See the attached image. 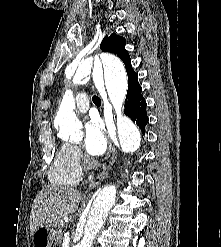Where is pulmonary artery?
Segmentation results:
<instances>
[{"instance_id":"e3ab8cb5","label":"pulmonary artery","mask_w":221,"mask_h":247,"mask_svg":"<svg viewBox=\"0 0 221 247\" xmlns=\"http://www.w3.org/2000/svg\"><path fill=\"white\" fill-rule=\"evenodd\" d=\"M76 108L79 112H86L89 109V97L86 93H78L76 96Z\"/></svg>"}]
</instances>
